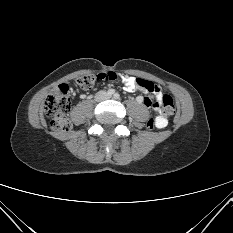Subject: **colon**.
Wrapping results in <instances>:
<instances>
[{
  "instance_id": "obj_1",
  "label": "colon",
  "mask_w": 233,
  "mask_h": 233,
  "mask_svg": "<svg viewBox=\"0 0 233 233\" xmlns=\"http://www.w3.org/2000/svg\"><path fill=\"white\" fill-rule=\"evenodd\" d=\"M96 77L93 75H83L77 79V84L84 90H89L93 87ZM138 86L146 90L148 93H156L159 88L151 81L137 78ZM72 101V92L68 85L61 84L51 91L45 101V113L51 117V127L55 131H68L71 129V123L66 117V112L69 110ZM153 105L156 100L151 101ZM162 109L164 114L172 115L175 112V103L170 95L162 96ZM147 127L153 129L155 126V119H150L147 122Z\"/></svg>"
}]
</instances>
